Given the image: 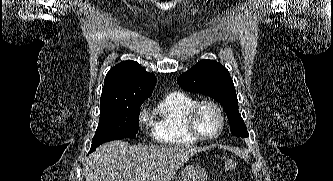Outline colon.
Masks as SVG:
<instances>
[{
	"label": "colon",
	"mask_w": 333,
	"mask_h": 181,
	"mask_svg": "<svg viewBox=\"0 0 333 181\" xmlns=\"http://www.w3.org/2000/svg\"><path fill=\"white\" fill-rule=\"evenodd\" d=\"M238 162L235 158H229L224 164V170L226 172H233L237 169Z\"/></svg>",
	"instance_id": "5ec220e1"
}]
</instances>
